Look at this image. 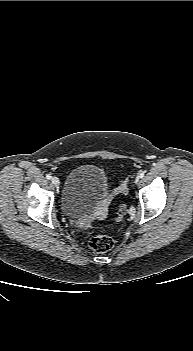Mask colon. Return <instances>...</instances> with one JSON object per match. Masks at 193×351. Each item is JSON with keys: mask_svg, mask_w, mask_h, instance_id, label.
Returning a JSON list of instances; mask_svg holds the SVG:
<instances>
[{"mask_svg": "<svg viewBox=\"0 0 193 351\" xmlns=\"http://www.w3.org/2000/svg\"><path fill=\"white\" fill-rule=\"evenodd\" d=\"M127 191L126 187V181L125 180H120L118 187H117V192L120 194H124ZM122 207L119 206L117 209V215H116V221H119L122 218ZM114 245V242L111 237L107 235H102V234H97V235H91L89 238V246L92 250L95 252H107L110 249H112Z\"/></svg>", "mask_w": 193, "mask_h": 351, "instance_id": "obj_1", "label": "colon"}]
</instances>
